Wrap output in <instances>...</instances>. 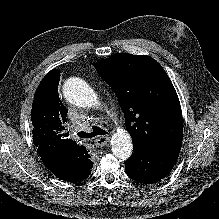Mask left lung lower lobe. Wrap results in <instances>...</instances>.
Returning a JSON list of instances; mask_svg holds the SVG:
<instances>
[{"instance_id": "obj_1", "label": "left lung lower lobe", "mask_w": 219, "mask_h": 219, "mask_svg": "<svg viewBox=\"0 0 219 219\" xmlns=\"http://www.w3.org/2000/svg\"><path fill=\"white\" fill-rule=\"evenodd\" d=\"M179 153H161L141 145H134V153L125 162L128 176L143 184L156 183L169 174Z\"/></svg>"}]
</instances>
